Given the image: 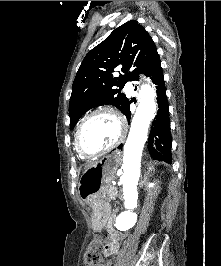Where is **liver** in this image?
I'll list each match as a JSON object with an SVG mask.
<instances>
[{
	"instance_id": "6515ba94",
	"label": "liver",
	"mask_w": 221,
	"mask_h": 266,
	"mask_svg": "<svg viewBox=\"0 0 221 266\" xmlns=\"http://www.w3.org/2000/svg\"><path fill=\"white\" fill-rule=\"evenodd\" d=\"M95 163H90L89 165H87V168L90 167V166H92V165H94Z\"/></svg>"
}]
</instances>
